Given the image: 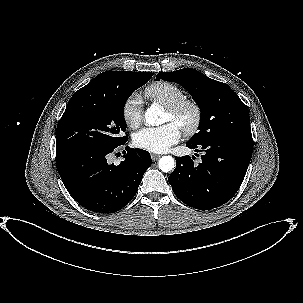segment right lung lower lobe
Wrapping results in <instances>:
<instances>
[{
  "label": "right lung lower lobe",
  "instance_id": "obj_1",
  "mask_svg": "<svg viewBox=\"0 0 303 303\" xmlns=\"http://www.w3.org/2000/svg\"><path fill=\"white\" fill-rule=\"evenodd\" d=\"M118 146L56 149V165L66 189L75 201L91 211L114 213L126 206L151 166L148 151L128 146L124 161L117 166L110 164V153Z\"/></svg>",
  "mask_w": 303,
  "mask_h": 303
}]
</instances>
